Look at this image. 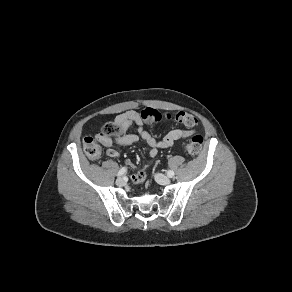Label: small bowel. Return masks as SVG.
<instances>
[{"label":"small bowel","mask_w":292,"mask_h":292,"mask_svg":"<svg viewBox=\"0 0 292 292\" xmlns=\"http://www.w3.org/2000/svg\"><path fill=\"white\" fill-rule=\"evenodd\" d=\"M114 123L121 127V134L116 137L100 138L101 144L107 148V155L113 158L120 155L119 151L114 148L115 145L128 146L142 141L149 148V156L152 159H155L158 155L159 149L169 148L176 142L186 139L193 133V127L186 126L185 129H173L162 139L158 140L143 128L144 121L141 117V113L134 110L118 115L115 118ZM130 126H136L138 134L127 133V129ZM131 165L133 166V164ZM147 168L148 166L145 167V169ZM145 179L146 173L143 170H139L131 175V180L136 184H142Z\"/></svg>","instance_id":"small-bowel-1"}]
</instances>
